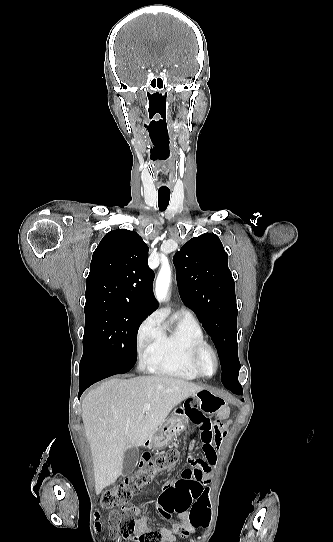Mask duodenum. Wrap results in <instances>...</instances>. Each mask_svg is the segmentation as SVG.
I'll list each match as a JSON object with an SVG mask.
<instances>
[{
    "label": "duodenum",
    "mask_w": 333,
    "mask_h": 542,
    "mask_svg": "<svg viewBox=\"0 0 333 542\" xmlns=\"http://www.w3.org/2000/svg\"><path fill=\"white\" fill-rule=\"evenodd\" d=\"M151 445V439H146L144 442V446L149 447Z\"/></svg>",
    "instance_id": "duodenum-1"
}]
</instances>
